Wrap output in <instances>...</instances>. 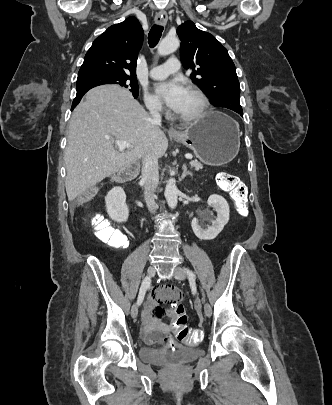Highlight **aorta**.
<instances>
[{"label":"aorta","mask_w":332,"mask_h":405,"mask_svg":"<svg viewBox=\"0 0 332 405\" xmlns=\"http://www.w3.org/2000/svg\"><path fill=\"white\" fill-rule=\"evenodd\" d=\"M180 45L179 39L177 37L166 36L164 37L158 47L157 51L160 56H166L178 49ZM179 190L176 186L175 179H169L165 188V198L167 200L168 206L171 209L176 208Z\"/></svg>","instance_id":"1"}]
</instances>
